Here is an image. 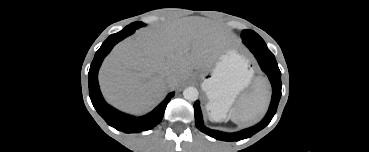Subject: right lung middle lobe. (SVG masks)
I'll use <instances>...</instances> for the list:
<instances>
[{"instance_id":"1","label":"right lung middle lobe","mask_w":369,"mask_h":152,"mask_svg":"<svg viewBox=\"0 0 369 152\" xmlns=\"http://www.w3.org/2000/svg\"><path fill=\"white\" fill-rule=\"evenodd\" d=\"M142 26H145V24L142 23V22H134V23L128 25L127 27H125V28H133V27L139 28V27H142Z\"/></svg>"}]
</instances>
